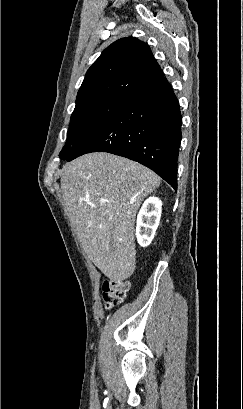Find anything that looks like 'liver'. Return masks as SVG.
I'll return each instance as SVG.
<instances>
[{
	"label": "liver",
	"mask_w": 243,
	"mask_h": 409,
	"mask_svg": "<svg viewBox=\"0 0 243 409\" xmlns=\"http://www.w3.org/2000/svg\"><path fill=\"white\" fill-rule=\"evenodd\" d=\"M60 182L64 204L91 261L112 281L130 277L136 264V213L160 178L137 162L96 152L66 163Z\"/></svg>",
	"instance_id": "obj_1"
}]
</instances>
